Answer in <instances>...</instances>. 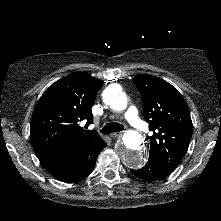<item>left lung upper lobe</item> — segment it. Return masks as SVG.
<instances>
[{"label":"left lung upper lobe","mask_w":221,"mask_h":221,"mask_svg":"<svg viewBox=\"0 0 221 221\" xmlns=\"http://www.w3.org/2000/svg\"><path fill=\"white\" fill-rule=\"evenodd\" d=\"M133 82L141 93L144 118L153 132L149 157L171 173L190 143L193 126L188 106L178 90L162 79L139 75Z\"/></svg>","instance_id":"1"}]
</instances>
